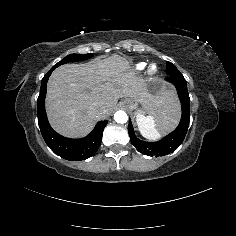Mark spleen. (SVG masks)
<instances>
[{"label": "spleen", "instance_id": "obj_1", "mask_svg": "<svg viewBox=\"0 0 236 236\" xmlns=\"http://www.w3.org/2000/svg\"><path fill=\"white\" fill-rule=\"evenodd\" d=\"M177 112L175 109L170 110V115ZM168 115H165L163 117H156V116H147L145 117L144 115H137L136 117V122L138 125V129L140 131V134L150 140V141H155L158 140L161 135L159 133L158 127L163 126L164 122L162 119L167 118Z\"/></svg>", "mask_w": 236, "mask_h": 236}]
</instances>
